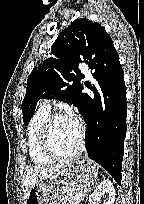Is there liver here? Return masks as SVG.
I'll return each instance as SVG.
<instances>
[{
  "mask_svg": "<svg viewBox=\"0 0 144 204\" xmlns=\"http://www.w3.org/2000/svg\"><path fill=\"white\" fill-rule=\"evenodd\" d=\"M66 164L50 165V166H35L26 169L22 178V188L24 199H26L29 188L39 180H46L58 173Z\"/></svg>",
  "mask_w": 144,
  "mask_h": 204,
  "instance_id": "liver-1",
  "label": "liver"
}]
</instances>
